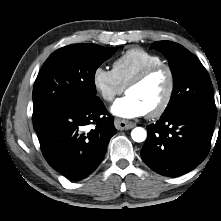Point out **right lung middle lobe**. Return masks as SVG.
Returning a JSON list of instances; mask_svg holds the SVG:
<instances>
[{
	"label": "right lung middle lobe",
	"mask_w": 221,
	"mask_h": 221,
	"mask_svg": "<svg viewBox=\"0 0 221 221\" xmlns=\"http://www.w3.org/2000/svg\"><path fill=\"white\" fill-rule=\"evenodd\" d=\"M117 49L84 43L68 45L52 53L33 88L34 128L62 107L86 106L97 101L95 72Z\"/></svg>",
	"instance_id": "1"
}]
</instances>
